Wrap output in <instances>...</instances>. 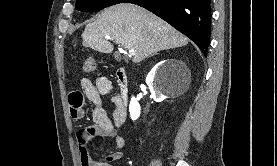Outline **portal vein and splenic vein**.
I'll use <instances>...</instances> for the list:
<instances>
[{"instance_id":"obj_1","label":"portal vein and splenic vein","mask_w":277,"mask_h":166,"mask_svg":"<svg viewBox=\"0 0 277 166\" xmlns=\"http://www.w3.org/2000/svg\"><path fill=\"white\" fill-rule=\"evenodd\" d=\"M105 38H106V39H111L110 36H106ZM129 54H130V55H134V54H135L134 50H129Z\"/></svg>"}]
</instances>
